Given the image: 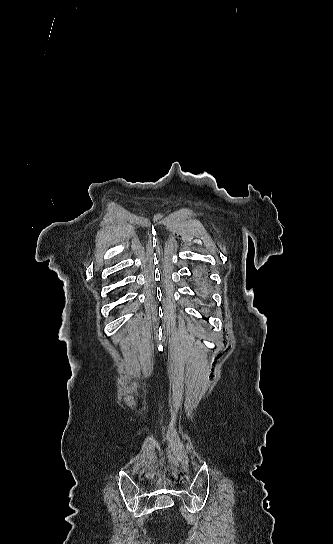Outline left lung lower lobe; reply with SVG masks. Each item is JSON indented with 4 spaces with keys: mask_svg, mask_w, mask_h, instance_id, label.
<instances>
[{
    "mask_svg": "<svg viewBox=\"0 0 333 544\" xmlns=\"http://www.w3.org/2000/svg\"><path fill=\"white\" fill-rule=\"evenodd\" d=\"M196 283L200 289L201 292L206 293L207 292V279L202 271H197L196 275Z\"/></svg>",
    "mask_w": 333,
    "mask_h": 544,
    "instance_id": "1",
    "label": "left lung lower lobe"
}]
</instances>
